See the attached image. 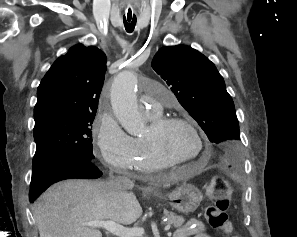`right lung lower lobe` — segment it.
<instances>
[{
	"label": "right lung lower lobe",
	"mask_w": 297,
	"mask_h": 237,
	"mask_svg": "<svg viewBox=\"0 0 297 237\" xmlns=\"http://www.w3.org/2000/svg\"><path fill=\"white\" fill-rule=\"evenodd\" d=\"M102 172L89 158L78 155L53 157L32 172L29 199L36 200L50 185L66 179H97Z\"/></svg>",
	"instance_id": "1"
}]
</instances>
